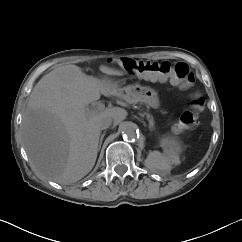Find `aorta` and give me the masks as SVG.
I'll return each mask as SVG.
<instances>
[{"label": "aorta", "mask_w": 242, "mask_h": 242, "mask_svg": "<svg viewBox=\"0 0 242 242\" xmlns=\"http://www.w3.org/2000/svg\"><path fill=\"white\" fill-rule=\"evenodd\" d=\"M123 136L129 140L135 139L139 135V130L136 124L127 122L122 128Z\"/></svg>", "instance_id": "obj_1"}]
</instances>
